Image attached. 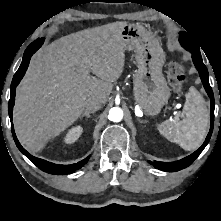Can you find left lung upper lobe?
Wrapping results in <instances>:
<instances>
[{
    "label": "left lung upper lobe",
    "mask_w": 221,
    "mask_h": 221,
    "mask_svg": "<svg viewBox=\"0 0 221 221\" xmlns=\"http://www.w3.org/2000/svg\"><path fill=\"white\" fill-rule=\"evenodd\" d=\"M180 43L185 49L189 50L192 54L201 56L198 44L187 32H180Z\"/></svg>",
    "instance_id": "1"
}]
</instances>
